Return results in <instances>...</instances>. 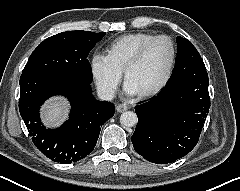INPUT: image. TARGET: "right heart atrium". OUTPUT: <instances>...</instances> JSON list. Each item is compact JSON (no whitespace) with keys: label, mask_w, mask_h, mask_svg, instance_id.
<instances>
[{"label":"right heart atrium","mask_w":240,"mask_h":191,"mask_svg":"<svg viewBox=\"0 0 240 191\" xmlns=\"http://www.w3.org/2000/svg\"><path fill=\"white\" fill-rule=\"evenodd\" d=\"M90 71L98 90L106 97H113L122 78V71L103 53H94Z\"/></svg>","instance_id":"1"}]
</instances>
